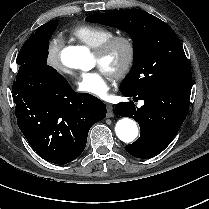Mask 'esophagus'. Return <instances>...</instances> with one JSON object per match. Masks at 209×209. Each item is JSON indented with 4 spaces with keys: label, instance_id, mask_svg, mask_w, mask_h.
Segmentation results:
<instances>
[{
    "label": "esophagus",
    "instance_id": "34e87169",
    "mask_svg": "<svg viewBox=\"0 0 209 209\" xmlns=\"http://www.w3.org/2000/svg\"><path fill=\"white\" fill-rule=\"evenodd\" d=\"M106 108H107V117L108 118L114 117V111L112 105L106 104Z\"/></svg>",
    "mask_w": 209,
    "mask_h": 209
}]
</instances>
